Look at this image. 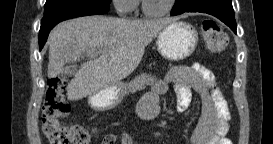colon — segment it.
Segmentation results:
<instances>
[{
	"label": "colon",
	"instance_id": "obj_1",
	"mask_svg": "<svg viewBox=\"0 0 273 144\" xmlns=\"http://www.w3.org/2000/svg\"><path fill=\"white\" fill-rule=\"evenodd\" d=\"M202 35L207 47L219 52L227 44V37L219 24L206 19L202 22ZM68 81L54 78L48 82V89L43 104V131L52 144H87L91 140L90 132L80 125H65L62 119L70 111L66 100Z\"/></svg>",
	"mask_w": 273,
	"mask_h": 144
}]
</instances>
